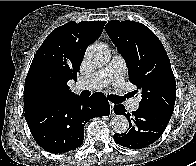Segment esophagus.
Instances as JSON below:
<instances>
[{
  "mask_svg": "<svg viewBox=\"0 0 196 166\" xmlns=\"http://www.w3.org/2000/svg\"><path fill=\"white\" fill-rule=\"evenodd\" d=\"M109 105H110V110H111L112 114L114 115V103L109 102Z\"/></svg>",
  "mask_w": 196,
  "mask_h": 166,
  "instance_id": "esophagus-1",
  "label": "esophagus"
}]
</instances>
